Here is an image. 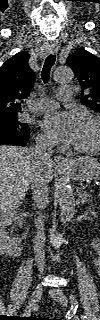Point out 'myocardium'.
Here are the masks:
<instances>
[{"label":"myocardium","instance_id":"myocardium-1","mask_svg":"<svg viewBox=\"0 0 100 320\" xmlns=\"http://www.w3.org/2000/svg\"><path fill=\"white\" fill-rule=\"evenodd\" d=\"M83 122L93 124L96 129V140L93 145L89 147H73V150L78 153L90 154L100 149V121L96 116H86L83 118Z\"/></svg>","mask_w":100,"mask_h":320}]
</instances>
